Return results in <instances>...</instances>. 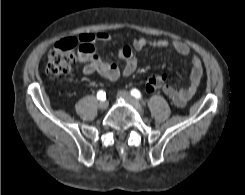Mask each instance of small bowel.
Returning <instances> with one entry per match:
<instances>
[{
	"label": "small bowel",
	"mask_w": 245,
	"mask_h": 195,
	"mask_svg": "<svg viewBox=\"0 0 245 195\" xmlns=\"http://www.w3.org/2000/svg\"><path fill=\"white\" fill-rule=\"evenodd\" d=\"M81 46L77 59L83 64V72L86 75L98 74L108 80L114 81L121 76L132 75L137 67L138 61L134 52L146 47L172 48L177 54L182 56L191 55V70L189 74V84L185 88L165 86L164 93L178 106L183 107L194 96L203 75V64L190 47L178 40H150L147 38L135 39L131 46H121L118 50V57L124 62L120 68L114 63H110L102 58L95 49L96 43H106L111 40V36L106 32L84 33L78 37Z\"/></svg>",
	"instance_id": "obj_1"
}]
</instances>
